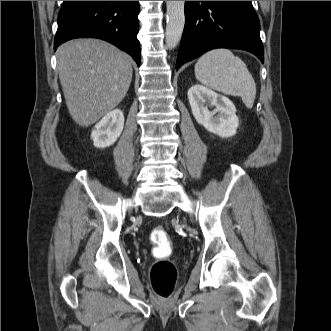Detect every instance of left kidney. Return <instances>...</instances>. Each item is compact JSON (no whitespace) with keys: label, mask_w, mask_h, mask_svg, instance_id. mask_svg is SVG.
<instances>
[{"label":"left kidney","mask_w":331,"mask_h":331,"mask_svg":"<svg viewBox=\"0 0 331 331\" xmlns=\"http://www.w3.org/2000/svg\"><path fill=\"white\" fill-rule=\"evenodd\" d=\"M188 99L196 121L222 138L235 135L239 125L234 104L225 96L196 84L188 90ZM214 106L213 111L208 107Z\"/></svg>","instance_id":"1"}]
</instances>
